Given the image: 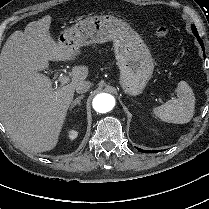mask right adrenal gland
Wrapping results in <instances>:
<instances>
[{
    "instance_id": "obj_1",
    "label": "right adrenal gland",
    "mask_w": 209,
    "mask_h": 209,
    "mask_svg": "<svg viewBox=\"0 0 209 209\" xmlns=\"http://www.w3.org/2000/svg\"><path fill=\"white\" fill-rule=\"evenodd\" d=\"M84 98V95H81L79 97H77L74 101H72L71 105H70V110H72L76 105H81V100Z\"/></svg>"
}]
</instances>
